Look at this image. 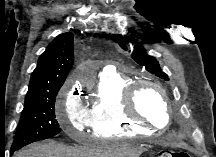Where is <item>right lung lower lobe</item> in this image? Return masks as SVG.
I'll list each match as a JSON object with an SVG mask.
<instances>
[{
	"instance_id": "1",
	"label": "right lung lower lobe",
	"mask_w": 216,
	"mask_h": 157,
	"mask_svg": "<svg viewBox=\"0 0 216 157\" xmlns=\"http://www.w3.org/2000/svg\"><path fill=\"white\" fill-rule=\"evenodd\" d=\"M14 151H15V150H11V152H10V153L12 154Z\"/></svg>"
}]
</instances>
